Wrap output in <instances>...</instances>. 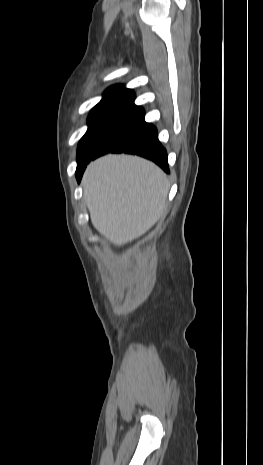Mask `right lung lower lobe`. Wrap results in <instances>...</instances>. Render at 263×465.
I'll list each match as a JSON object with an SVG mask.
<instances>
[{
	"mask_svg": "<svg viewBox=\"0 0 263 465\" xmlns=\"http://www.w3.org/2000/svg\"><path fill=\"white\" fill-rule=\"evenodd\" d=\"M136 154L154 161L169 173L167 153L157 138V129L144 121L143 108L136 106L106 136L94 156L83 166L77 167L76 177L80 182L87 164L107 153Z\"/></svg>",
	"mask_w": 263,
	"mask_h": 465,
	"instance_id": "obj_1",
	"label": "right lung lower lobe"
}]
</instances>
